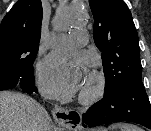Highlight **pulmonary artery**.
Returning <instances> with one entry per match:
<instances>
[{"mask_svg":"<svg viewBox=\"0 0 151 131\" xmlns=\"http://www.w3.org/2000/svg\"><path fill=\"white\" fill-rule=\"evenodd\" d=\"M88 42V35L85 31L79 30L72 33L70 36L60 37L55 45L57 47H69V46H77L81 47L86 45Z\"/></svg>","mask_w":151,"mask_h":131,"instance_id":"e3ab8cb5","label":"pulmonary artery"}]
</instances>
